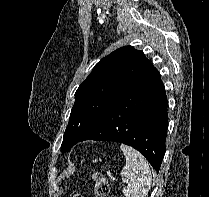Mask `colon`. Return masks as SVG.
Instances as JSON below:
<instances>
[{
	"instance_id": "1",
	"label": "colon",
	"mask_w": 209,
	"mask_h": 197,
	"mask_svg": "<svg viewBox=\"0 0 209 197\" xmlns=\"http://www.w3.org/2000/svg\"><path fill=\"white\" fill-rule=\"evenodd\" d=\"M92 180L96 195L99 197H106L109 193V184L107 179L102 174L94 173L92 175ZM74 197H82V196L75 195Z\"/></svg>"
}]
</instances>
